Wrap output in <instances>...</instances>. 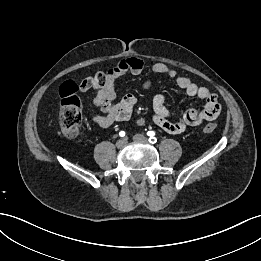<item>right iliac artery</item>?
I'll list each match as a JSON object with an SVG mask.
<instances>
[{
    "label": "right iliac artery",
    "mask_w": 261,
    "mask_h": 261,
    "mask_svg": "<svg viewBox=\"0 0 261 261\" xmlns=\"http://www.w3.org/2000/svg\"><path fill=\"white\" fill-rule=\"evenodd\" d=\"M119 135H120V137H124V136H125V132H124V131H121V132L119 133Z\"/></svg>",
    "instance_id": "82829eb1"
}]
</instances>
